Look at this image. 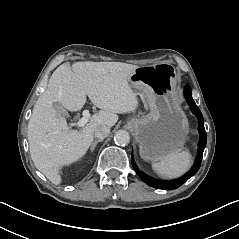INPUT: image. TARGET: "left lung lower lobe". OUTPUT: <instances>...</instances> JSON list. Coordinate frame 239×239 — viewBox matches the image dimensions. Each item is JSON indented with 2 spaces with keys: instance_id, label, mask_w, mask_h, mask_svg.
<instances>
[{
  "instance_id": "obj_1",
  "label": "left lung lower lobe",
  "mask_w": 239,
  "mask_h": 239,
  "mask_svg": "<svg viewBox=\"0 0 239 239\" xmlns=\"http://www.w3.org/2000/svg\"><path fill=\"white\" fill-rule=\"evenodd\" d=\"M184 96H185V99H186L188 105L190 106L191 111L198 118V130H199V133H200V144H199L198 159H197V162H196L194 168H192L181 179L171 181V182H164V181H158V180H155V179H151V178L145 176L144 174H142L136 168V166L134 164V161H133V158H131L132 166L135 169L136 173L139 175V177L145 183H147L149 186H152V187L157 188V189L173 190V189H176V188L180 187L184 182H186L190 177H192L199 170L200 165H201L203 151H204V148L206 146V141H207V135H206L205 128H204V120H203L202 113L200 112L199 108L197 107V105L195 104V102L192 98V92H191V88H190L189 85H187L184 89Z\"/></svg>"
}]
</instances>
